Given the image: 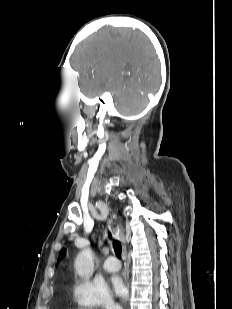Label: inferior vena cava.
<instances>
[{
    "label": "inferior vena cava",
    "mask_w": 232,
    "mask_h": 309,
    "mask_svg": "<svg viewBox=\"0 0 232 309\" xmlns=\"http://www.w3.org/2000/svg\"><path fill=\"white\" fill-rule=\"evenodd\" d=\"M105 309H122V308L114 304L113 302H108L105 306Z\"/></svg>",
    "instance_id": "1"
}]
</instances>
